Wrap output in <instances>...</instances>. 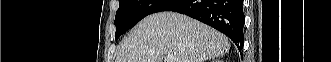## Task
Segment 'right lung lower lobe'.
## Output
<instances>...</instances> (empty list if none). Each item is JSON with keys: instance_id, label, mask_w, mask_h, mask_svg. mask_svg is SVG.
<instances>
[{"instance_id": "right-lung-lower-lobe-1", "label": "right lung lower lobe", "mask_w": 331, "mask_h": 62, "mask_svg": "<svg viewBox=\"0 0 331 62\" xmlns=\"http://www.w3.org/2000/svg\"><path fill=\"white\" fill-rule=\"evenodd\" d=\"M162 11L179 12L206 23L227 35L240 52L243 49V0H176Z\"/></svg>"}]
</instances>
